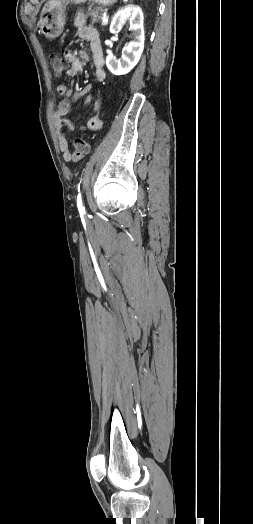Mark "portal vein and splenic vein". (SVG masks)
Returning a JSON list of instances; mask_svg holds the SVG:
<instances>
[{"mask_svg":"<svg viewBox=\"0 0 253 524\" xmlns=\"http://www.w3.org/2000/svg\"><path fill=\"white\" fill-rule=\"evenodd\" d=\"M107 23H108V17H107V16H104V17L102 18V25H105V24H107Z\"/></svg>","mask_w":253,"mask_h":524,"instance_id":"portal-vein-and-splenic-vein-1","label":"portal vein and splenic vein"}]
</instances>
